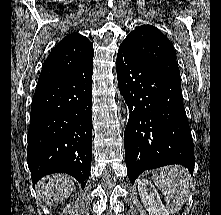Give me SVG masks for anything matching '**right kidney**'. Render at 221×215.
Returning a JSON list of instances; mask_svg holds the SVG:
<instances>
[{"label":"right kidney","mask_w":221,"mask_h":215,"mask_svg":"<svg viewBox=\"0 0 221 215\" xmlns=\"http://www.w3.org/2000/svg\"><path fill=\"white\" fill-rule=\"evenodd\" d=\"M70 207H71L70 204H68L67 207L63 210V212L65 213L67 209H69Z\"/></svg>","instance_id":"right-kidney-1"}]
</instances>
